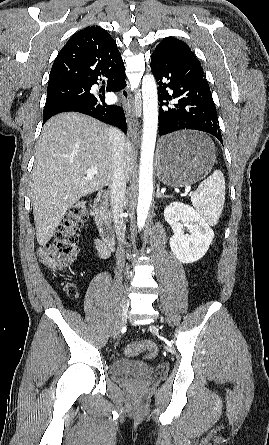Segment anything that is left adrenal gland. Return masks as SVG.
I'll return each mask as SVG.
<instances>
[{
    "label": "left adrenal gland",
    "mask_w": 269,
    "mask_h": 445,
    "mask_svg": "<svg viewBox=\"0 0 269 445\" xmlns=\"http://www.w3.org/2000/svg\"><path fill=\"white\" fill-rule=\"evenodd\" d=\"M156 197H157V198H168L169 196H168V195H165V194H162V193H160V188H159V185H157V193H156Z\"/></svg>",
    "instance_id": "obj_1"
}]
</instances>
